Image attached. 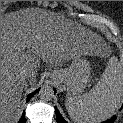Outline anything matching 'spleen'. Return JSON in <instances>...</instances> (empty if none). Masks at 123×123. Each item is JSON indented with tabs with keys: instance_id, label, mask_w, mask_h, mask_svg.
Listing matches in <instances>:
<instances>
[{
	"instance_id": "obj_1",
	"label": "spleen",
	"mask_w": 123,
	"mask_h": 123,
	"mask_svg": "<svg viewBox=\"0 0 123 123\" xmlns=\"http://www.w3.org/2000/svg\"><path fill=\"white\" fill-rule=\"evenodd\" d=\"M123 97V71L111 57L100 81L85 95L69 97L65 107L74 123H100L110 118Z\"/></svg>"
}]
</instances>
